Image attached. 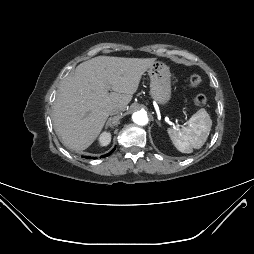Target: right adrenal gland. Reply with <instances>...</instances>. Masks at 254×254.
Here are the masks:
<instances>
[{
	"instance_id": "right-adrenal-gland-1",
	"label": "right adrenal gland",
	"mask_w": 254,
	"mask_h": 254,
	"mask_svg": "<svg viewBox=\"0 0 254 254\" xmlns=\"http://www.w3.org/2000/svg\"><path fill=\"white\" fill-rule=\"evenodd\" d=\"M112 118L110 117L109 119H108V121H107V123H106V128L110 125V120H111ZM111 126V125H110Z\"/></svg>"
}]
</instances>
